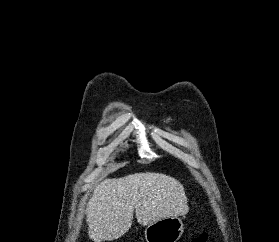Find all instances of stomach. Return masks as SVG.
<instances>
[{
	"label": "stomach",
	"instance_id": "obj_1",
	"mask_svg": "<svg viewBox=\"0 0 279 242\" xmlns=\"http://www.w3.org/2000/svg\"><path fill=\"white\" fill-rule=\"evenodd\" d=\"M184 232L183 221L178 216L166 217L148 225L146 242H177Z\"/></svg>",
	"mask_w": 279,
	"mask_h": 242
}]
</instances>
